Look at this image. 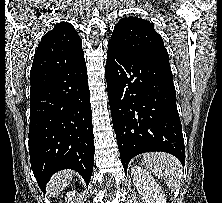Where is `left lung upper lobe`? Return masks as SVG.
Listing matches in <instances>:
<instances>
[{
  "instance_id": "obj_1",
  "label": "left lung upper lobe",
  "mask_w": 222,
  "mask_h": 203,
  "mask_svg": "<svg viewBox=\"0 0 222 203\" xmlns=\"http://www.w3.org/2000/svg\"><path fill=\"white\" fill-rule=\"evenodd\" d=\"M108 46L131 56H149L169 61L168 52L154 25L138 17L121 19L114 28Z\"/></svg>"
}]
</instances>
